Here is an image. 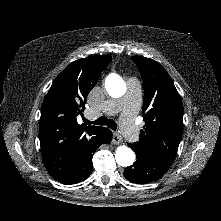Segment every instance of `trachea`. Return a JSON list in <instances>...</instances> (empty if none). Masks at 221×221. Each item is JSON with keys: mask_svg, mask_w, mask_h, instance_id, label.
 <instances>
[{"mask_svg": "<svg viewBox=\"0 0 221 221\" xmlns=\"http://www.w3.org/2000/svg\"><path fill=\"white\" fill-rule=\"evenodd\" d=\"M84 122H85L86 125H89V124L107 125L112 130H116L117 129V124L115 123V121H113L112 119H108V118H106L104 116L99 117L95 121H89L87 119H84Z\"/></svg>", "mask_w": 221, "mask_h": 221, "instance_id": "3493384b", "label": "trachea"}]
</instances>
